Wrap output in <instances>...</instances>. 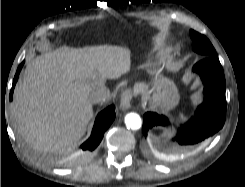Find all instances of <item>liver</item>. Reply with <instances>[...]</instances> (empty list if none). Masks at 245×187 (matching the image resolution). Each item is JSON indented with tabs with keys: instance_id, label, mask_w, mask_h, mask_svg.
I'll return each mask as SVG.
<instances>
[{
	"instance_id": "liver-1",
	"label": "liver",
	"mask_w": 245,
	"mask_h": 187,
	"mask_svg": "<svg viewBox=\"0 0 245 187\" xmlns=\"http://www.w3.org/2000/svg\"><path fill=\"white\" fill-rule=\"evenodd\" d=\"M130 50L99 45L62 46L31 59L14 93L17 130L42 150H65L93 117L90 92L130 70Z\"/></svg>"
}]
</instances>
